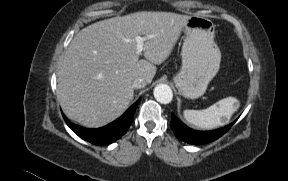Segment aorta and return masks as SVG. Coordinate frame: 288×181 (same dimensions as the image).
Here are the masks:
<instances>
[{
  "label": "aorta",
  "mask_w": 288,
  "mask_h": 181,
  "mask_svg": "<svg viewBox=\"0 0 288 181\" xmlns=\"http://www.w3.org/2000/svg\"><path fill=\"white\" fill-rule=\"evenodd\" d=\"M155 99L161 104H168L173 99L172 89L166 84H158L153 91Z\"/></svg>",
  "instance_id": "1"
}]
</instances>
